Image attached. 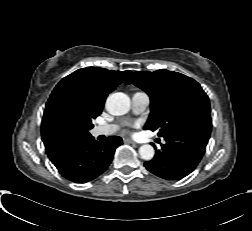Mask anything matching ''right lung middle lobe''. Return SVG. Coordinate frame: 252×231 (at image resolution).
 Wrapping results in <instances>:
<instances>
[{"label": "right lung middle lobe", "instance_id": "dd1d6c3e", "mask_svg": "<svg viewBox=\"0 0 252 231\" xmlns=\"http://www.w3.org/2000/svg\"><path fill=\"white\" fill-rule=\"evenodd\" d=\"M100 113L89 110L66 94L50 96L42 120L41 131L50 141L67 144L90 135L92 119Z\"/></svg>", "mask_w": 252, "mask_h": 231}]
</instances>
